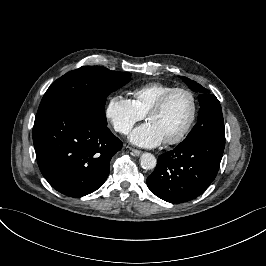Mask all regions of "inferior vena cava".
Returning <instances> with one entry per match:
<instances>
[{
    "instance_id": "inferior-vena-cava-1",
    "label": "inferior vena cava",
    "mask_w": 266,
    "mask_h": 266,
    "mask_svg": "<svg viewBox=\"0 0 266 266\" xmlns=\"http://www.w3.org/2000/svg\"><path fill=\"white\" fill-rule=\"evenodd\" d=\"M129 131H130V129H129V128H125V129H123L122 133H124V134H128V133H129Z\"/></svg>"
}]
</instances>
